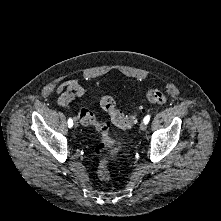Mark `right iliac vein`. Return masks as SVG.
I'll list each match as a JSON object with an SVG mask.
<instances>
[{"instance_id": "obj_1", "label": "right iliac vein", "mask_w": 221, "mask_h": 221, "mask_svg": "<svg viewBox=\"0 0 221 221\" xmlns=\"http://www.w3.org/2000/svg\"><path fill=\"white\" fill-rule=\"evenodd\" d=\"M74 126L77 127L78 126V122L76 119H74Z\"/></svg>"}]
</instances>
